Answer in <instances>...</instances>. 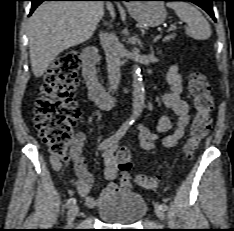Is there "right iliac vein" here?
Segmentation results:
<instances>
[{
  "label": "right iliac vein",
  "mask_w": 234,
  "mask_h": 231,
  "mask_svg": "<svg viewBox=\"0 0 234 231\" xmlns=\"http://www.w3.org/2000/svg\"><path fill=\"white\" fill-rule=\"evenodd\" d=\"M78 212H79V206L78 205L74 204L72 207H70V209L68 211V217H67V221H68L67 226L68 227L73 226V222H74Z\"/></svg>",
  "instance_id": "1"
}]
</instances>
